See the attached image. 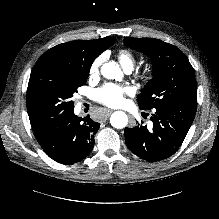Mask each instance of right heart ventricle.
Returning a JSON list of instances; mask_svg holds the SVG:
<instances>
[{
	"label": "right heart ventricle",
	"instance_id": "1",
	"mask_svg": "<svg viewBox=\"0 0 219 219\" xmlns=\"http://www.w3.org/2000/svg\"><path fill=\"white\" fill-rule=\"evenodd\" d=\"M117 58L124 69H132L136 63L135 56L127 49H121L117 54Z\"/></svg>",
	"mask_w": 219,
	"mask_h": 219
}]
</instances>
